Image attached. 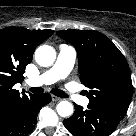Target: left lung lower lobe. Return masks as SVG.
<instances>
[{
    "label": "left lung lower lobe",
    "instance_id": "obj_1",
    "mask_svg": "<svg viewBox=\"0 0 136 136\" xmlns=\"http://www.w3.org/2000/svg\"><path fill=\"white\" fill-rule=\"evenodd\" d=\"M125 114L122 109L89 102L87 109L75 105L64 125L74 136H108Z\"/></svg>",
    "mask_w": 136,
    "mask_h": 136
}]
</instances>
